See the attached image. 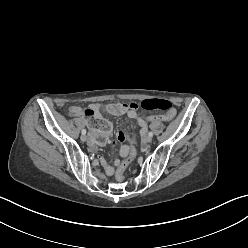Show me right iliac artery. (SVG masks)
Returning <instances> with one entry per match:
<instances>
[{"label": "right iliac artery", "instance_id": "1", "mask_svg": "<svg viewBox=\"0 0 248 248\" xmlns=\"http://www.w3.org/2000/svg\"><path fill=\"white\" fill-rule=\"evenodd\" d=\"M82 134H83V135L86 134V130H85V129L82 130Z\"/></svg>", "mask_w": 248, "mask_h": 248}]
</instances>
